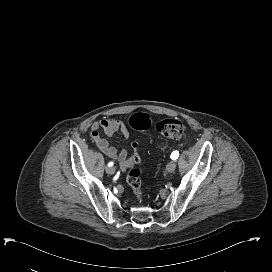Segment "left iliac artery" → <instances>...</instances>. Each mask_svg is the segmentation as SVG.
Segmentation results:
<instances>
[{
  "mask_svg": "<svg viewBox=\"0 0 272 272\" xmlns=\"http://www.w3.org/2000/svg\"><path fill=\"white\" fill-rule=\"evenodd\" d=\"M179 157V152L178 151H174L171 154V159L172 160H176Z\"/></svg>",
  "mask_w": 272,
  "mask_h": 272,
  "instance_id": "1",
  "label": "left iliac artery"
}]
</instances>
